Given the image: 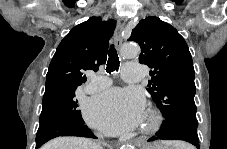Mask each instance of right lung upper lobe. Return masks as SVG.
Returning a JSON list of instances; mask_svg holds the SVG:
<instances>
[{
  "instance_id": "obj_1",
  "label": "right lung upper lobe",
  "mask_w": 227,
  "mask_h": 149,
  "mask_svg": "<svg viewBox=\"0 0 227 149\" xmlns=\"http://www.w3.org/2000/svg\"><path fill=\"white\" fill-rule=\"evenodd\" d=\"M115 26L114 20L102 22L100 17H91L72 28L51 60L45 88L78 87L85 82V71H97L106 62L109 39Z\"/></svg>"
}]
</instances>
